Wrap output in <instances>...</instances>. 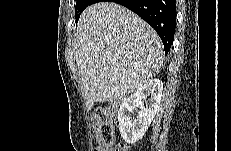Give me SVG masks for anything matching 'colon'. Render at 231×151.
Wrapping results in <instances>:
<instances>
[{
  "label": "colon",
  "instance_id": "1",
  "mask_svg": "<svg viewBox=\"0 0 231 151\" xmlns=\"http://www.w3.org/2000/svg\"><path fill=\"white\" fill-rule=\"evenodd\" d=\"M114 112L110 109H100L95 112V130L99 142L106 151H124L121 145L113 146L114 143ZM96 151V149L94 150Z\"/></svg>",
  "mask_w": 231,
  "mask_h": 151
}]
</instances>
